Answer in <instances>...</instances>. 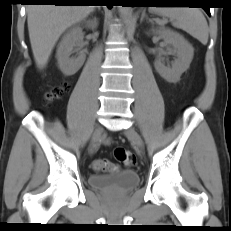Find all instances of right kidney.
I'll return each mask as SVG.
<instances>
[{
    "label": "right kidney",
    "instance_id": "obj_1",
    "mask_svg": "<svg viewBox=\"0 0 231 231\" xmlns=\"http://www.w3.org/2000/svg\"><path fill=\"white\" fill-rule=\"evenodd\" d=\"M98 22L94 19L87 22L90 28L97 27ZM83 40L82 28L73 27L62 39L57 49L59 68L66 76L74 75L83 65L85 54L81 51ZM76 52V56L71 57Z\"/></svg>",
    "mask_w": 231,
    "mask_h": 231
}]
</instances>
